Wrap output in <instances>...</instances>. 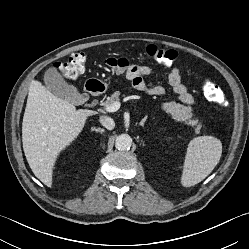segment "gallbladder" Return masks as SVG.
I'll list each match as a JSON object with an SVG mask.
<instances>
[{"label":"gallbladder","instance_id":"1","mask_svg":"<svg viewBox=\"0 0 249 249\" xmlns=\"http://www.w3.org/2000/svg\"><path fill=\"white\" fill-rule=\"evenodd\" d=\"M46 87L56 96L75 105L83 103V96L72 85L68 84L58 70L51 66L44 74Z\"/></svg>","mask_w":249,"mask_h":249}]
</instances>
